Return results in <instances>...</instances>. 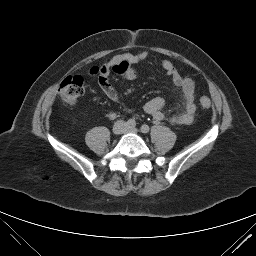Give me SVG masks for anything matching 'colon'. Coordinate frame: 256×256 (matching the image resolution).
Instances as JSON below:
<instances>
[{
  "label": "colon",
  "instance_id": "obj_1",
  "mask_svg": "<svg viewBox=\"0 0 256 256\" xmlns=\"http://www.w3.org/2000/svg\"><path fill=\"white\" fill-rule=\"evenodd\" d=\"M92 75H99L100 68L93 67L90 71ZM85 91V81L81 76H69L65 78L59 88V95L62 102L66 106L75 105L79 98L84 94ZM200 106L202 109H209L211 106V101L207 97H202L200 99Z\"/></svg>",
  "mask_w": 256,
  "mask_h": 256
}]
</instances>
